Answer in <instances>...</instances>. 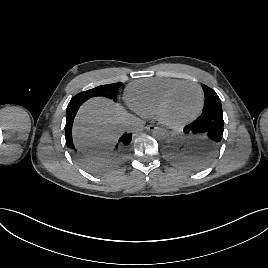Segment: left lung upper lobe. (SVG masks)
<instances>
[{
	"instance_id": "left-lung-upper-lobe-1",
	"label": "left lung upper lobe",
	"mask_w": 268,
	"mask_h": 268,
	"mask_svg": "<svg viewBox=\"0 0 268 268\" xmlns=\"http://www.w3.org/2000/svg\"><path fill=\"white\" fill-rule=\"evenodd\" d=\"M202 88L205 94V105L202 110V113L208 111L223 112L220 98L218 97L216 92L204 84L202 85Z\"/></svg>"
}]
</instances>
